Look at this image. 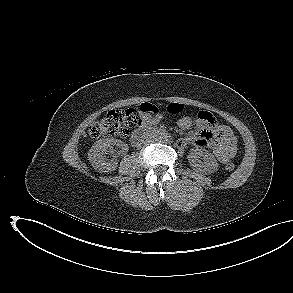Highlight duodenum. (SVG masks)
Wrapping results in <instances>:
<instances>
[{
	"instance_id": "410a0bca",
	"label": "duodenum",
	"mask_w": 293,
	"mask_h": 293,
	"mask_svg": "<svg viewBox=\"0 0 293 293\" xmlns=\"http://www.w3.org/2000/svg\"><path fill=\"white\" fill-rule=\"evenodd\" d=\"M165 131L163 130H155L151 128L150 126H142L141 128L137 129L133 134L131 135L130 141L131 144L134 146L140 145L144 139L147 137H150L152 135H164Z\"/></svg>"
}]
</instances>
